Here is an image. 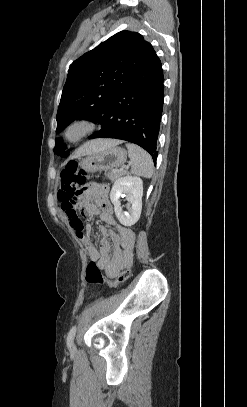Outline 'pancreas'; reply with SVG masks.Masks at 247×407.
I'll return each instance as SVG.
<instances>
[{"label": "pancreas", "instance_id": "obj_1", "mask_svg": "<svg viewBox=\"0 0 247 407\" xmlns=\"http://www.w3.org/2000/svg\"><path fill=\"white\" fill-rule=\"evenodd\" d=\"M126 172L125 171H116L113 170L111 172L105 173V175L108 177L109 180L116 181L120 176L124 175Z\"/></svg>", "mask_w": 247, "mask_h": 407}]
</instances>
